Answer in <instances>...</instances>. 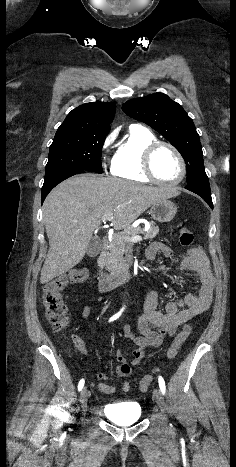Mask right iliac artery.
Returning a JSON list of instances; mask_svg holds the SVG:
<instances>
[{"mask_svg": "<svg viewBox=\"0 0 236 467\" xmlns=\"http://www.w3.org/2000/svg\"><path fill=\"white\" fill-rule=\"evenodd\" d=\"M123 311H124V307H123L117 314H115L114 316H112V317L110 318L109 322L114 321V320H116L117 318H119ZM84 382H85L84 379H81V380L79 381V384H78V390H79V391H81L82 388L84 387Z\"/></svg>", "mask_w": 236, "mask_h": 467, "instance_id": "right-iliac-artery-1", "label": "right iliac artery"}]
</instances>
